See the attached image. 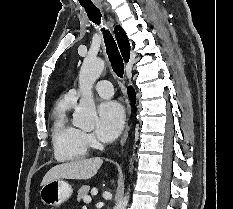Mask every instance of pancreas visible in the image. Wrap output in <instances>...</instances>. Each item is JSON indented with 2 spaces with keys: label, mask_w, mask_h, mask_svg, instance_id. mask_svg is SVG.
<instances>
[{
  "label": "pancreas",
  "mask_w": 233,
  "mask_h": 209,
  "mask_svg": "<svg viewBox=\"0 0 233 209\" xmlns=\"http://www.w3.org/2000/svg\"><path fill=\"white\" fill-rule=\"evenodd\" d=\"M89 190H90V187L88 185L82 186L78 190L77 200L80 201L81 199H84V197L88 196Z\"/></svg>",
  "instance_id": "1"
}]
</instances>
